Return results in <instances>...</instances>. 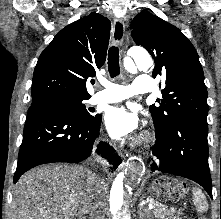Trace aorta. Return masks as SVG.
I'll return each mask as SVG.
<instances>
[{
  "label": "aorta",
  "mask_w": 221,
  "mask_h": 219,
  "mask_svg": "<svg viewBox=\"0 0 221 219\" xmlns=\"http://www.w3.org/2000/svg\"><path fill=\"white\" fill-rule=\"evenodd\" d=\"M124 66L129 72H135L137 69L151 68L153 61L144 49H131ZM141 171V164L133 163L129 170H123L116 176L110 195L112 219H130L129 204Z\"/></svg>",
  "instance_id": "1"
}]
</instances>
